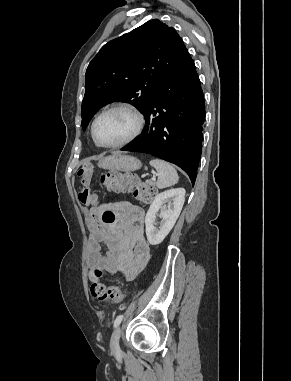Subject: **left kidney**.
<instances>
[{"label": "left kidney", "instance_id": "1", "mask_svg": "<svg viewBox=\"0 0 291 381\" xmlns=\"http://www.w3.org/2000/svg\"><path fill=\"white\" fill-rule=\"evenodd\" d=\"M185 193L184 188H176L155 196L145 217L146 236L151 245L160 244L175 225L185 201ZM160 209L162 221L156 227V214Z\"/></svg>", "mask_w": 291, "mask_h": 381}]
</instances>
